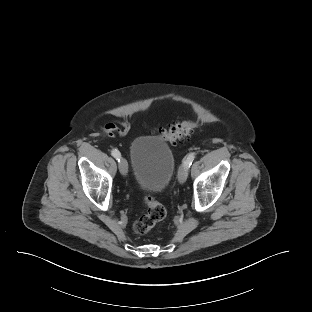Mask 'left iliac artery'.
<instances>
[{
  "mask_svg": "<svg viewBox=\"0 0 312 312\" xmlns=\"http://www.w3.org/2000/svg\"><path fill=\"white\" fill-rule=\"evenodd\" d=\"M195 158V153H190L187 158L184 160V165H186L188 168L191 166L193 160Z\"/></svg>",
  "mask_w": 312,
  "mask_h": 312,
  "instance_id": "44dca946",
  "label": "left iliac artery"
}]
</instances>
